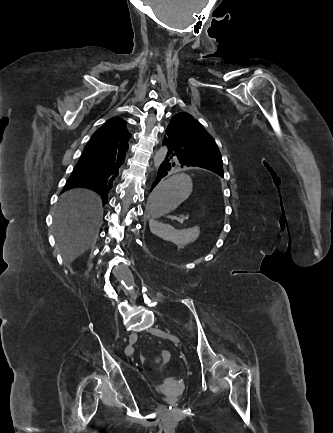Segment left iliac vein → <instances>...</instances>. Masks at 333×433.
<instances>
[{
  "label": "left iliac vein",
  "instance_id": "4c4485c4",
  "mask_svg": "<svg viewBox=\"0 0 333 433\" xmlns=\"http://www.w3.org/2000/svg\"><path fill=\"white\" fill-rule=\"evenodd\" d=\"M149 332L151 333V334H153V335H157V336H160V337H163V338H168V339H170L172 342H174L175 344H179V338L176 336V335H173V334H170V333H167L166 331H164V330H161V329H159V328H150L149 329Z\"/></svg>",
  "mask_w": 333,
  "mask_h": 433
}]
</instances>
